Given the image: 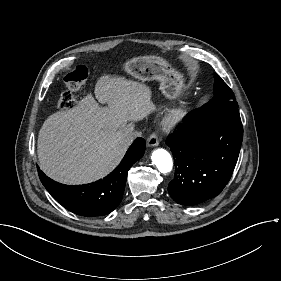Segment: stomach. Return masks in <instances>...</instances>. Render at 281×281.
<instances>
[{
  "mask_svg": "<svg viewBox=\"0 0 281 281\" xmlns=\"http://www.w3.org/2000/svg\"><path fill=\"white\" fill-rule=\"evenodd\" d=\"M125 71L141 81H160L162 94L169 99L179 97L185 89L184 74L176 71L164 58L156 55L132 58L124 64Z\"/></svg>",
  "mask_w": 281,
  "mask_h": 281,
  "instance_id": "obj_1",
  "label": "stomach"
}]
</instances>
